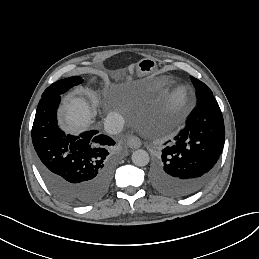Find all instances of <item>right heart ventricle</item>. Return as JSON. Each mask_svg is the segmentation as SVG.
<instances>
[{
	"label": "right heart ventricle",
	"instance_id": "1",
	"mask_svg": "<svg viewBox=\"0 0 259 259\" xmlns=\"http://www.w3.org/2000/svg\"><path fill=\"white\" fill-rule=\"evenodd\" d=\"M143 87L142 81L135 80L131 85L122 89V98L128 101L129 104H135Z\"/></svg>",
	"mask_w": 259,
	"mask_h": 259
}]
</instances>
